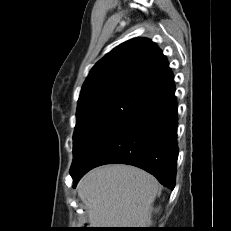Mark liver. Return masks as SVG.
Here are the masks:
<instances>
[{"mask_svg":"<svg viewBox=\"0 0 231 231\" xmlns=\"http://www.w3.org/2000/svg\"><path fill=\"white\" fill-rule=\"evenodd\" d=\"M77 190L93 228H145L161 188L147 172L118 164L91 170Z\"/></svg>","mask_w":231,"mask_h":231,"instance_id":"1","label":"liver"}]
</instances>
